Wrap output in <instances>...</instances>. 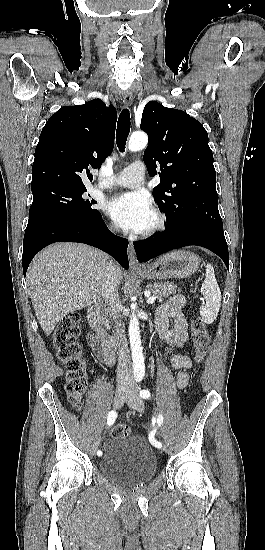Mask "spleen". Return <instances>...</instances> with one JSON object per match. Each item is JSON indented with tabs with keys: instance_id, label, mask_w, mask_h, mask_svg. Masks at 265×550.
I'll return each mask as SVG.
<instances>
[{
	"instance_id": "3e777b00",
	"label": "spleen",
	"mask_w": 265,
	"mask_h": 550,
	"mask_svg": "<svg viewBox=\"0 0 265 550\" xmlns=\"http://www.w3.org/2000/svg\"><path fill=\"white\" fill-rule=\"evenodd\" d=\"M201 292L206 303L200 307V315L206 324H211L216 319L221 305V291L215 278L214 268L206 265L205 280Z\"/></svg>"
}]
</instances>
